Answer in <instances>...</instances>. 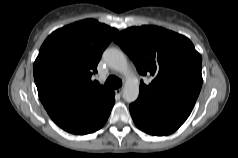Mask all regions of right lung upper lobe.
I'll list each match as a JSON object with an SVG mask.
<instances>
[{
	"mask_svg": "<svg viewBox=\"0 0 238 158\" xmlns=\"http://www.w3.org/2000/svg\"><path fill=\"white\" fill-rule=\"evenodd\" d=\"M117 33L115 28L86 19L50 34L33 66L41 102L108 97L112 90L90 78Z\"/></svg>",
	"mask_w": 238,
	"mask_h": 158,
	"instance_id": "1",
	"label": "right lung upper lobe"
}]
</instances>
